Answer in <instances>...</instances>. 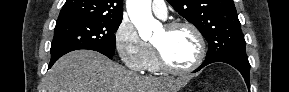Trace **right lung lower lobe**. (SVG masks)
I'll use <instances>...</instances> for the list:
<instances>
[{
    "label": "right lung lower lobe",
    "instance_id": "right-lung-lower-lobe-1",
    "mask_svg": "<svg viewBox=\"0 0 289 92\" xmlns=\"http://www.w3.org/2000/svg\"><path fill=\"white\" fill-rule=\"evenodd\" d=\"M104 55H106V54H104ZM107 57H109V58H112V56H110V55H106ZM57 60H51L50 61V64H49V68H51L52 67V65L56 62Z\"/></svg>",
    "mask_w": 289,
    "mask_h": 92
}]
</instances>
